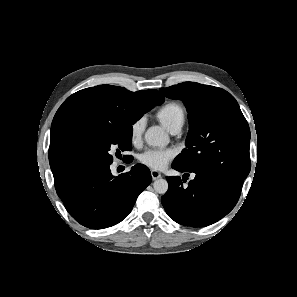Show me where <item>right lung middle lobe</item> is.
<instances>
[{
    "instance_id": "right-lung-middle-lobe-1",
    "label": "right lung middle lobe",
    "mask_w": 297,
    "mask_h": 297,
    "mask_svg": "<svg viewBox=\"0 0 297 297\" xmlns=\"http://www.w3.org/2000/svg\"><path fill=\"white\" fill-rule=\"evenodd\" d=\"M157 103L145 101L141 105L140 116L152 109ZM130 124H104L80 131L70 147L71 157L78 170L110 165L113 161L110 147L117 151L131 150L133 128ZM120 152V151H119Z\"/></svg>"
}]
</instances>
